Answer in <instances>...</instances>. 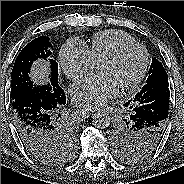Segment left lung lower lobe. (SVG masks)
<instances>
[{"mask_svg":"<svg viewBox=\"0 0 184 184\" xmlns=\"http://www.w3.org/2000/svg\"><path fill=\"white\" fill-rule=\"evenodd\" d=\"M157 89L161 91V97L156 95L158 90L152 89L142 94L137 93L133 99L125 103V106H130L132 109L131 116L135 124L141 128L149 129L161 142L169 114V88L160 87Z\"/></svg>","mask_w":184,"mask_h":184,"instance_id":"left-lung-lower-lobe-1","label":"left lung lower lobe"}]
</instances>
